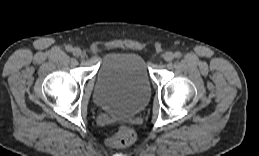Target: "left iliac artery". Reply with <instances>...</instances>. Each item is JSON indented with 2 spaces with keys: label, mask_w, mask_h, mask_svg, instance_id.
<instances>
[{
  "label": "left iliac artery",
  "mask_w": 259,
  "mask_h": 156,
  "mask_svg": "<svg viewBox=\"0 0 259 156\" xmlns=\"http://www.w3.org/2000/svg\"><path fill=\"white\" fill-rule=\"evenodd\" d=\"M174 56L179 59V58L182 57V54H181V52H176V53L174 54Z\"/></svg>",
  "instance_id": "obj_1"
}]
</instances>
